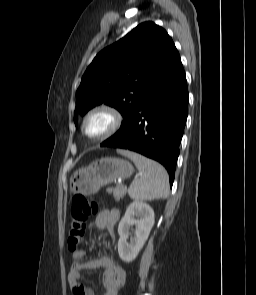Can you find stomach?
I'll list each match as a JSON object with an SVG mask.
<instances>
[{"label": "stomach", "mask_w": 256, "mask_h": 295, "mask_svg": "<svg viewBox=\"0 0 256 295\" xmlns=\"http://www.w3.org/2000/svg\"><path fill=\"white\" fill-rule=\"evenodd\" d=\"M133 171V166L124 159L101 157L74 172L70 191L84 196L95 194L102 186L131 176Z\"/></svg>", "instance_id": "obj_1"}]
</instances>
